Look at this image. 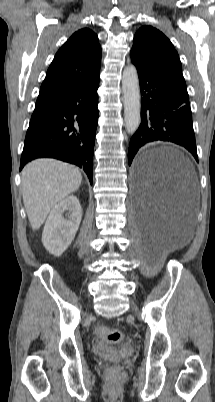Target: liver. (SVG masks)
I'll return each mask as SVG.
<instances>
[{
  "instance_id": "liver-1",
  "label": "liver",
  "mask_w": 215,
  "mask_h": 402,
  "mask_svg": "<svg viewBox=\"0 0 215 402\" xmlns=\"http://www.w3.org/2000/svg\"><path fill=\"white\" fill-rule=\"evenodd\" d=\"M24 207L33 230L46 220L50 211L76 191L82 182L78 168L54 159H37L21 173Z\"/></svg>"
}]
</instances>
